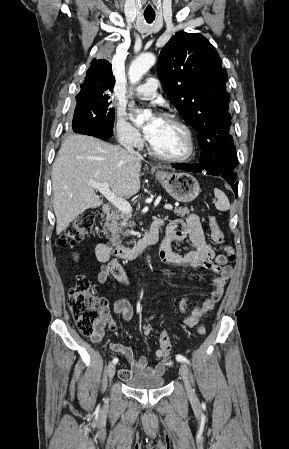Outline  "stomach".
<instances>
[{
	"label": "stomach",
	"instance_id": "obj_1",
	"mask_svg": "<svg viewBox=\"0 0 289 449\" xmlns=\"http://www.w3.org/2000/svg\"><path fill=\"white\" fill-rule=\"evenodd\" d=\"M156 178L175 200L183 203L193 201L200 193L198 181L189 173H157Z\"/></svg>",
	"mask_w": 289,
	"mask_h": 449
}]
</instances>
